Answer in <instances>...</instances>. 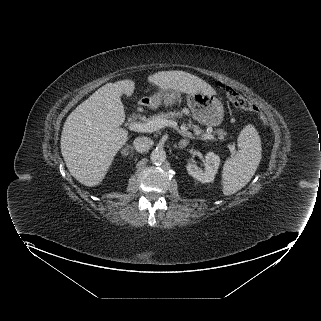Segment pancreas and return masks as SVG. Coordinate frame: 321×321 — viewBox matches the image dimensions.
<instances>
[{
    "label": "pancreas",
    "mask_w": 321,
    "mask_h": 321,
    "mask_svg": "<svg viewBox=\"0 0 321 321\" xmlns=\"http://www.w3.org/2000/svg\"><path fill=\"white\" fill-rule=\"evenodd\" d=\"M183 112H167V113H159L157 115L151 116L148 118L147 121L154 120V119H162V120H172L175 119L176 117L182 116ZM189 128L193 129L196 133H200V128L197 125H192L189 123L188 125ZM217 133L219 134L220 137H223L226 133L221 129L217 130Z\"/></svg>",
    "instance_id": "cf45deb5"
}]
</instances>
